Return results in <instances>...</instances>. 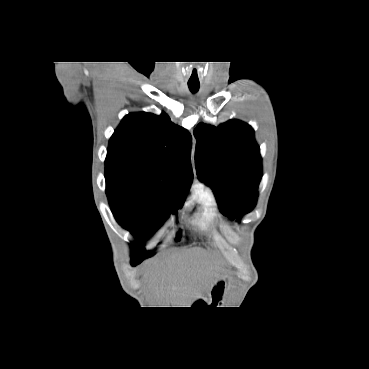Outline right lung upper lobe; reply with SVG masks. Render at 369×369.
Here are the masks:
<instances>
[{
  "label": "right lung upper lobe",
  "mask_w": 369,
  "mask_h": 369,
  "mask_svg": "<svg viewBox=\"0 0 369 369\" xmlns=\"http://www.w3.org/2000/svg\"><path fill=\"white\" fill-rule=\"evenodd\" d=\"M191 142L190 133L165 113H130L109 140L105 175L129 178L183 202L193 180Z\"/></svg>",
  "instance_id": "1"
}]
</instances>
